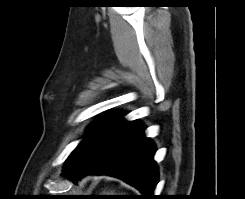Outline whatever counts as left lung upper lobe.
Masks as SVG:
<instances>
[{
    "instance_id": "left-lung-upper-lobe-1",
    "label": "left lung upper lobe",
    "mask_w": 245,
    "mask_h": 199,
    "mask_svg": "<svg viewBox=\"0 0 245 199\" xmlns=\"http://www.w3.org/2000/svg\"><path fill=\"white\" fill-rule=\"evenodd\" d=\"M120 114H108L103 116L100 120L95 122L92 126H90L85 139L73 150L68 159L65 162L64 169L70 167L74 161L78 158V156L82 153L87 143L99 132L101 131L108 123L114 120Z\"/></svg>"
}]
</instances>
